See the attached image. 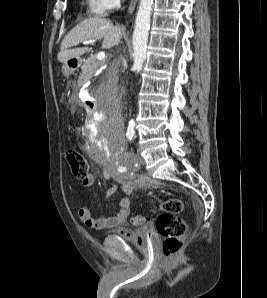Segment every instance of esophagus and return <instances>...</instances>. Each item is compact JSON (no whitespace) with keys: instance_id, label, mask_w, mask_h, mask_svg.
Returning <instances> with one entry per match:
<instances>
[{"instance_id":"1","label":"esophagus","mask_w":267,"mask_h":298,"mask_svg":"<svg viewBox=\"0 0 267 298\" xmlns=\"http://www.w3.org/2000/svg\"><path fill=\"white\" fill-rule=\"evenodd\" d=\"M138 0H131L129 7H128V13L132 14L133 11L135 10L136 4Z\"/></svg>"}]
</instances>
